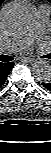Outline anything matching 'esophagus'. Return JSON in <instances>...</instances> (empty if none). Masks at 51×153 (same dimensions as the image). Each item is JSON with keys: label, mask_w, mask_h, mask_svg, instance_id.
I'll list each match as a JSON object with an SVG mask.
<instances>
[{"label": "esophagus", "mask_w": 51, "mask_h": 153, "mask_svg": "<svg viewBox=\"0 0 51 153\" xmlns=\"http://www.w3.org/2000/svg\"><path fill=\"white\" fill-rule=\"evenodd\" d=\"M21 60L24 63H33L35 61V59L31 57H25V58H22Z\"/></svg>", "instance_id": "1"}]
</instances>
